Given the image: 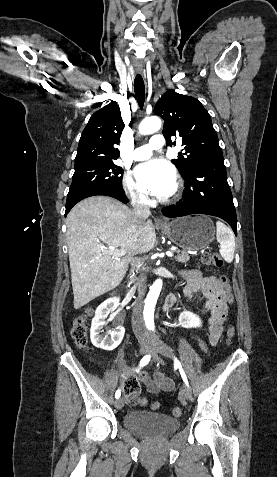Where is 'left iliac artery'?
Returning <instances> with one entry per match:
<instances>
[{
    "label": "left iliac artery",
    "instance_id": "1",
    "mask_svg": "<svg viewBox=\"0 0 277 477\" xmlns=\"http://www.w3.org/2000/svg\"><path fill=\"white\" fill-rule=\"evenodd\" d=\"M175 366L179 368L180 373H181V376H182V378H183L185 384L188 385L187 377H186V375H185V373H184V371H183V369H182V367H181L180 362H179L177 359H175Z\"/></svg>",
    "mask_w": 277,
    "mask_h": 477
}]
</instances>
